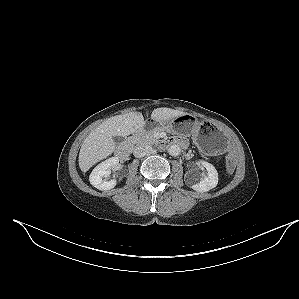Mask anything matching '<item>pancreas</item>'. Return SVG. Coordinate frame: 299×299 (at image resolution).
I'll return each instance as SVG.
<instances>
[{
    "instance_id": "1",
    "label": "pancreas",
    "mask_w": 299,
    "mask_h": 299,
    "mask_svg": "<svg viewBox=\"0 0 299 299\" xmlns=\"http://www.w3.org/2000/svg\"><path fill=\"white\" fill-rule=\"evenodd\" d=\"M162 128H156L147 132L143 133H138L134 134L131 138L130 141L133 144H153L157 141L155 138V134L162 131Z\"/></svg>"
}]
</instances>
